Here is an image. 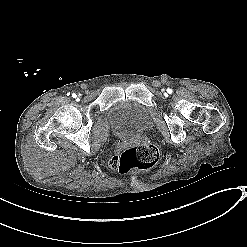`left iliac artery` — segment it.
Returning <instances> with one entry per match:
<instances>
[{
  "instance_id": "44dca946",
  "label": "left iliac artery",
  "mask_w": 247,
  "mask_h": 247,
  "mask_svg": "<svg viewBox=\"0 0 247 247\" xmlns=\"http://www.w3.org/2000/svg\"><path fill=\"white\" fill-rule=\"evenodd\" d=\"M167 92H168V93H172V90H171V89H167Z\"/></svg>"
}]
</instances>
